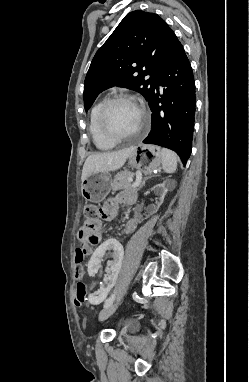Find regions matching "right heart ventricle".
<instances>
[{"mask_svg": "<svg viewBox=\"0 0 249 382\" xmlns=\"http://www.w3.org/2000/svg\"><path fill=\"white\" fill-rule=\"evenodd\" d=\"M105 100L98 101L91 109L89 118V131L95 146L99 150H110L116 143L106 139L99 128V112Z\"/></svg>", "mask_w": 249, "mask_h": 382, "instance_id": "e07e8e85", "label": "right heart ventricle"}]
</instances>
